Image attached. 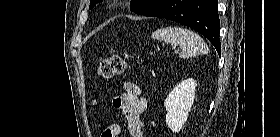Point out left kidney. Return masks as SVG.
<instances>
[{
    "label": "left kidney",
    "instance_id": "left-kidney-1",
    "mask_svg": "<svg viewBox=\"0 0 280 137\" xmlns=\"http://www.w3.org/2000/svg\"><path fill=\"white\" fill-rule=\"evenodd\" d=\"M197 81L186 79L177 84L165 99L167 110L166 124L173 132H179L184 126L193 105Z\"/></svg>",
    "mask_w": 280,
    "mask_h": 137
}]
</instances>
